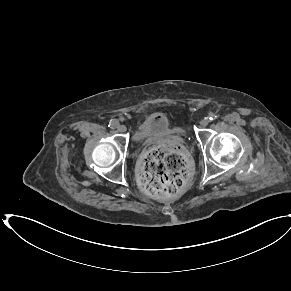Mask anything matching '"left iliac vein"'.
Here are the masks:
<instances>
[{
	"mask_svg": "<svg viewBox=\"0 0 291 291\" xmlns=\"http://www.w3.org/2000/svg\"><path fill=\"white\" fill-rule=\"evenodd\" d=\"M209 121L207 118H204L200 121L201 127H206L208 125Z\"/></svg>",
	"mask_w": 291,
	"mask_h": 291,
	"instance_id": "left-iliac-vein-1",
	"label": "left iliac vein"
}]
</instances>
